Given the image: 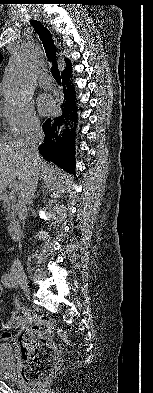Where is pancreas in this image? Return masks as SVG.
<instances>
[{"instance_id":"obj_1","label":"pancreas","mask_w":153,"mask_h":393,"mask_svg":"<svg viewBox=\"0 0 153 393\" xmlns=\"http://www.w3.org/2000/svg\"><path fill=\"white\" fill-rule=\"evenodd\" d=\"M14 193H15L14 191L10 192L4 201V206H5L6 210L8 211V215L6 217V220L13 218L14 214L16 212V205H15L16 196Z\"/></svg>"}]
</instances>
